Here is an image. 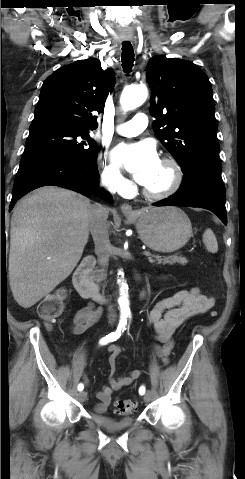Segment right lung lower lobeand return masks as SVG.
Returning a JSON list of instances; mask_svg holds the SVG:
<instances>
[{
  "instance_id": "right-lung-lower-lobe-1",
  "label": "right lung lower lobe",
  "mask_w": 245,
  "mask_h": 479,
  "mask_svg": "<svg viewBox=\"0 0 245 479\" xmlns=\"http://www.w3.org/2000/svg\"><path fill=\"white\" fill-rule=\"evenodd\" d=\"M97 167L66 157H42L20 164L16 174L9 210L30 191L48 185L67 188L83 195L94 193L98 186ZM107 199L104 190H96Z\"/></svg>"
}]
</instances>
